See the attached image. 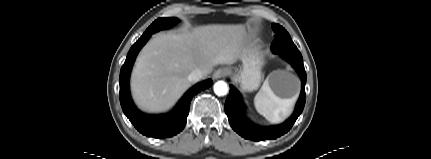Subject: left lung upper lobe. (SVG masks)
<instances>
[{"instance_id": "1", "label": "left lung upper lobe", "mask_w": 431, "mask_h": 159, "mask_svg": "<svg viewBox=\"0 0 431 159\" xmlns=\"http://www.w3.org/2000/svg\"><path fill=\"white\" fill-rule=\"evenodd\" d=\"M272 29L276 33L275 40L272 44L274 53H300L289 33L279 24H272Z\"/></svg>"}]
</instances>
